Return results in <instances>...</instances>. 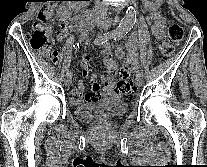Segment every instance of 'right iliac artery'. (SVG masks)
Wrapping results in <instances>:
<instances>
[{
	"label": "right iliac artery",
	"mask_w": 207,
	"mask_h": 167,
	"mask_svg": "<svg viewBox=\"0 0 207 167\" xmlns=\"http://www.w3.org/2000/svg\"><path fill=\"white\" fill-rule=\"evenodd\" d=\"M117 33H125L124 29L118 28L117 30H113L111 32H107L104 34L99 35L95 40H94V44L95 45H101L104 44L105 42H107L109 39L113 38V36ZM67 77L72 75L71 71H67L66 73Z\"/></svg>",
	"instance_id": "1"
}]
</instances>
